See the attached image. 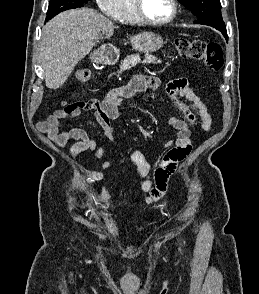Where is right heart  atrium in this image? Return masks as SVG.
I'll list each match as a JSON object with an SVG mask.
<instances>
[{"label": "right heart atrium", "instance_id": "d8ad5b80", "mask_svg": "<svg viewBox=\"0 0 259 294\" xmlns=\"http://www.w3.org/2000/svg\"><path fill=\"white\" fill-rule=\"evenodd\" d=\"M96 3L104 15L115 17L119 10L121 0H96Z\"/></svg>", "mask_w": 259, "mask_h": 294}]
</instances>
